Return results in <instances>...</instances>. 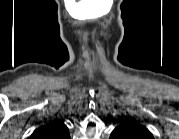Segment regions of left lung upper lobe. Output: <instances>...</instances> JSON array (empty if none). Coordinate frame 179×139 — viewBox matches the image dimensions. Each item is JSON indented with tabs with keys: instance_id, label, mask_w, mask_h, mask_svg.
Here are the masks:
<instances>
[{
	"instance_id": "left-lung-upper-lobe-1",
	"label": "left lung upper lobe",
	"mask_w": 179,
	"mask_h": 139,
	"mask_svg": "<svg viewBox=\"0 0 179 139\" xmlns=\"http://www.w3.org/2000/svg\"><path fill=\"white\" fill-rule=\"evenodd\" d=\"M112 137L129 136L135 138H153L148 129L136 122L127 121L113 130Z\"/></svg>"
}]
</instances>
